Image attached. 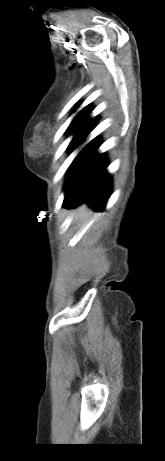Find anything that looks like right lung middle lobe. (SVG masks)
<instances>
[{"mask_svg": "<svg viewBox=\"0 0 165 461\" xmlns=\"http://www.w3.org/2000/svg\"><path fill=\"white\" fill-rule=\"evenodd\" d=\"M96 123V118L88 119V116H76L67 129V131L70 133L75 132L74 137L69 144V148L75 149L78 147L93 130ZM88 144L79 152L74 161L80 156Z\"/></svg>", "mask_w": 165, "mask_h": 461, "instance_id": "right-lung-middle-lobe-1", "label": "right lung middle lobe"}]
</instances>
